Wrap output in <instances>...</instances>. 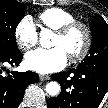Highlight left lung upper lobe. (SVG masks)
<instances>
[{"label": "left lung upper lobe", "mask_w": 108, "mask_h": 108, "mask_svg": "<svg viewBox=\"0 0 108 108\" xmlns=\"http://www.w3.org/2000/svg\"><path fill=\"white\" fill-rule=\"evenodd\" d=\"M92 34V45L87 55L80 65H88L99 62L108 63V24L98 14H95L90 23ZM77 90L68 91L67 98L75 99Z\"/></svg>", "instance_id": "1"}]
</instances>
